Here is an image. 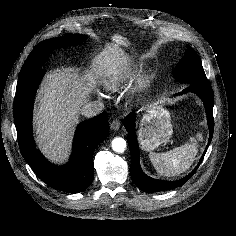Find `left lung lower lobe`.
<instances>
[{"instance_id": "0a47b994", "label": "left lung lower lobe", "mask_w": 236, "mask_h": 236, "mask_svg": "<svg viewBox=\"0 0 236 236\" xmlns=\"http://www.w3.org/2000/svg\"><path fill=\"white\" fill-rule=\"evenodd\" d=\"M187 92H194L204 102L205 111L207 114L208 119V127H209V141L207 144V147L204 151L203 156L201 157L198 165L196 168L187 176L184 178L177 180V181H164V180H157L148 177L145 175V173L142 171L140 164H139V147L137 144V137L135 133V114L130 113L126 118L124 119V126L126 130L129 132L127 136L130 152H131V166H130V174L132 176L133 182L143 191L145 192H158L163 191L167 189H174L177 187L182 186L188 179H190L199 165L201 164L203 157L208 149V146L211 142L212 136H213V130H214V120H213V105H214V94L213 90L211 88L210 82H200L197 84H190L186 89H184L181 93H178L177 95L184 94Z\"/></svg>"}]
</instances>
